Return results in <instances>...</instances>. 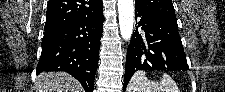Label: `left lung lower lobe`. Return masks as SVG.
Here are the masks:
<instances>
[{"label": "left lung lower lobe", "instance_id": "1", "mask_svg": "<svg viewBox=\"0 0 225 92\" xmlns=\"http://www.w3.org/2000/svg\"><path fill=\"white\" fill-rule=\"evenodd\" d=\"M135 16H141L138 26H142L145 35L137 32V26L127 50L124 90L138 70H188L177 24L149 17L137 10Z\"/></svg>", "mask_w": 225, "mask_h": 92}]
</instances>
